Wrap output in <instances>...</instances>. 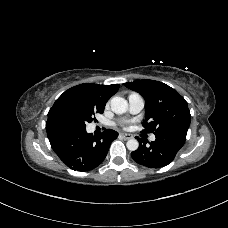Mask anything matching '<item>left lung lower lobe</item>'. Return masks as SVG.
I'll list each match as a JSON object with an SVG mask.
<instances>
[{
	"label": "left lung lower lobe",
	"mask_w": 228,
	"mask_h": 228,
	"mask_svg": "<svg viewBox=\"0 0 228 228\" xmlns=\"http://www.w3.org/2000/svg\"><path fill=\"white\" fill-rule=\"evenodd\" d=\"M187 130L169 129L155 134L156 140L146 145L139 139V148L131 153L134 161L149 168H161L173 161L185 143Z\"/></svg>",
	"instance_id": "1"
}]
</instances>
